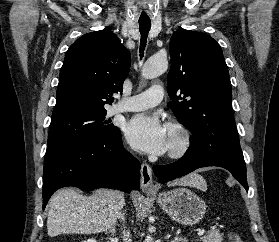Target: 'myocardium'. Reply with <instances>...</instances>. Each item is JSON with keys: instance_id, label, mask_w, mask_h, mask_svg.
<instances>
[{"instance_id": "myocardium-1", "label": "myocardium", "mask_w": 279, "mask_h": 242, "mask_svg": "<svg viewBox=\"0 0 279 242\" xmlns=\"http://www.w3.org/2000/svg\"><path fill=\"white\" fill-rule=\"evenodd\" d=\"M167 127L176 135V144L168 149L167 155L170 159H180L190 150L192 134L181 122H169Z\"/></svg>"}]
</instances>
